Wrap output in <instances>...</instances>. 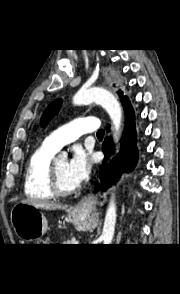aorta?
<instances>
[{
	"mask_svg": "<svg viewBox=\"0 0 180 294\" xmlns=\"http://www.w3.org/2000/svg\"><path fill=\"white\" fill-rule=\"evenodd\" d=\"M93 102L101 105L108 113L113 125L114 138L115 141H117L122 125V109L119 101L109 91L97 87L81 89L73 97L74 105H84ZM61 158L63 160L67 159V153L62 152ZM115 225L116 203L113 196L110 200L105 215L103 231L101 235L103 244H111L114 237Z\"/></svg>",
	"mask_w": 180,
	"mask_h": 294,
	"instance_id": "aorta-1",
	"label": "aorta"
}]
</instances>
